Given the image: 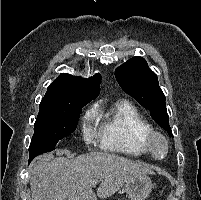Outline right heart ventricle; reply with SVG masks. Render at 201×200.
<instances>
[{
	"label": "right heart ventricle",
	"instance_id": "e07e8e85",
	"mask_svg": "<svg viewBox=\"0 0 201 200\" xmlns=\"http://www.w3.org/2000/svg\"><path fill=\"white\" fill-rule=\"evenodd\" d=\"M98 138L102 149L132 157L149 153L151 125L129 101L116 102L102 117Z\"/></svg>",
	"mask_w": 201,
	"mask_h": 200
}]
</instances>
